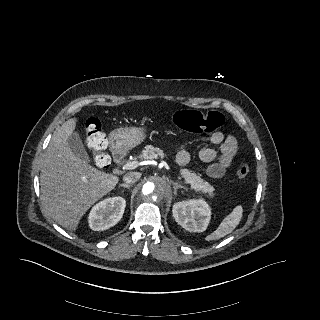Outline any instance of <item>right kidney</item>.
<instances>
[{
	"label": "right kidney",
	"instance_id": "ca27d5eb",
	"mask_svg": "<svg viewBox=\"0 0 320 320\" xmlns=\"http://www.w3.org/2000/svg\"><path fill=\"white\" fill-rule=\"evenodd\" d=\"M126 201L122 197L107 198L97 203L89 214V226L94 231L109 229L121 220Z\"/></svg>",
	"mask_w": 320,
	"mask_h": 320
}]
</instances>
